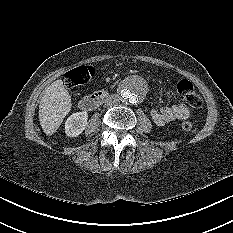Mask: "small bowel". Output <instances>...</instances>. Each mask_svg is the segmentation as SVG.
Masks as SVG:
<instances>
[{
    "label": "small bowel",
    "instance_id": "obj_1",
    "mask_svg": "<svg viewBox=\"0 0 233 233\" xmlns=\"http://www.w3.org/2000/svg\"><path fill=\"white\" fill-rule=\"evenodd\" d=\"M189 114V108L182 102L170 106L155 108L151 111L152 120L157 126H165L176 120L186 119Z\"/></svg>",
    "mask_w": 233,
    "mask_h": 233
}]
</instances>
